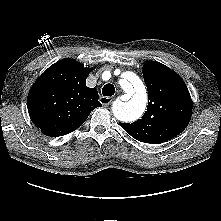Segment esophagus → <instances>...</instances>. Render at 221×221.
Masks as SVG:
<instances>
[{
	"label": "esophagus",
	"instance_id": "1",
	"mask_svg": "<svg viewBox=\"0 0 221 221\" xmlns=\"http://www.w3.org/2000/svg\"><path fill=\"white\" fill-rule=\"evenodd\" d=\"M99 101L101 102V104L105 107H107L108 105H110V103L113 101V97H104L101 96L99 98Z\"/></svg>",
	"mask_w": 221,
	"mask_h": 221
}]
</instances>
